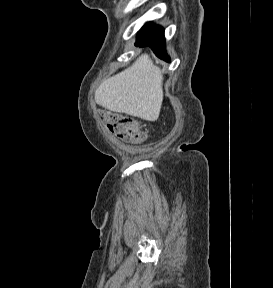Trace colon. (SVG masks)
I'll list each match as a JSON object with an SVG mask.
<instances>
[{
    "label": "colon",
    "mask_w": 273,
    "mask_h": 288,
    "mask_svg": "<svg viewBox=\"0 0 273 288\" xmlns=\"http://www.w3.org/2000/svg\"><path fill=\"white\" fill-rule=\"evenodd\" d=\"M101 116L107 128L120 140L140 143L145 139V133L136 119L111 111H102Z\"/></svg>",
    "instance_id": "1"
}]
</instances>
